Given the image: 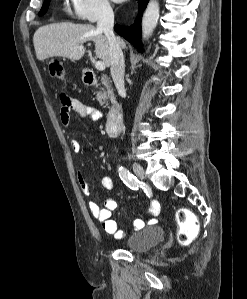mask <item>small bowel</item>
<instances>
[{
    "label": "small bowel",
    "instance_id": "small-bowel-1",
    "mask_svg": "<svg viewBox=\"0 0 247 299\" xmlns=\"http://www.w3.org/2000/svg\"><path fill=\"white\" fill-rule=\"evenodd\" d=\"M61 111H60V118L62 123L65 126L70 124L71 119V112L78 113L83 118H91L92 120H100L102 114L96 108L89 106L82 101L71 98L66 94H61ZM70 147L73 152L78 153L81 150V143L72 138L70 140ZM78 182L81 188V191L85 195H89L91 191V183L86 178L84 173H78ZM101 185L103 188L107 190H111L114 187V180L110 176H105L101 180ZM118 207L117 200L113 197H108L105 199L103 206H99L95 202L89 203V209L93 215V217L101 224L103 230L109 234L114 236L115 238H123L125 236V232L118 228L117 222L112 218V212L116 210ZM160 212V204L157 200L151 201V206L148 211L149 219L147 220L148 223H154L156 218ZM146 221L138 217L133 221V228L134 230H140L145 226Z\"/></svg>",
    "mask_w": 247,
    "mask_h": 299
}]
</instances>
